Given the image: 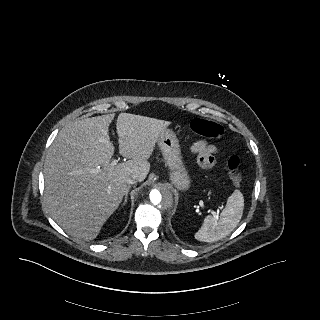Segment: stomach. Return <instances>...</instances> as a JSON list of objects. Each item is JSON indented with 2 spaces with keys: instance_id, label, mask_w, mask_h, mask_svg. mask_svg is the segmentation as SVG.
I'll use <instances>...</instances> for the list:
<instances>
[{
  "instance_id": "stomach-1",
  "label": "stomach",
  "mask_w": 320,
  "mask_h": 320,
  "mask_svg": "<svg viewBox=\"0 0 320 320\" xmlns=\"http://www.w3.org/2000/svg\"><path fill=\"white\" fill-rule=\"evenodd\" d=\"M157 142L165 164L170 170L171 182L181 191L188 190L191 186V179L181 155L177 136L172 130L164 128L159 134Z\"/></svg>"
}]
</instances>
